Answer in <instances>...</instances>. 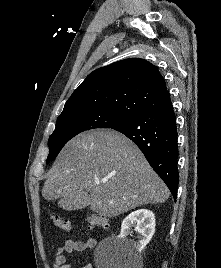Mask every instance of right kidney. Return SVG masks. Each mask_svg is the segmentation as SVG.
Segmentation results:
<instances>
[{
	"label": "right kidney",
	"mask_w": 221,
	"mask_h": 268,
	"mask_svg": "<svg viewBox=\"0 0 221 268\" xmlns=\"http://www.w3.org/2000/svg\"><path fill=\"white\" fill-rule=\"evenodd\" d=\"M140 235L138 242L132 245L133 252L140 253L151 240L155 232V215L147 209H140L130 213L121 224V233L118 238L129 242L127 236L131 229Z\"/></svg>",
	"instance_id": "obj_1"
}]
</instances>
